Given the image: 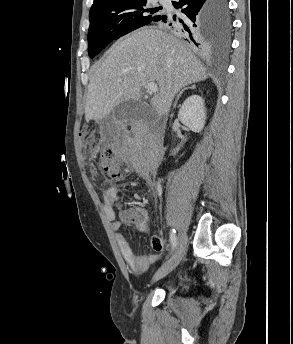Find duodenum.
<instances>
[{"label": "duodenum", "instance_id": "410a0bca", "mask_svg": "<svg viewBox=\"0 0 293 344\" xmlns=\"http://www.w3.org/2000/svg\"><path fill=\"white\" fill-rule=\"evenodd\" d=\"M152 153H153V161H157L158 157H159V153H160V149L158 147H154L151 149Z\"/></svg>", "mask_w": 293, "mask_h": 344}]
</instances>
